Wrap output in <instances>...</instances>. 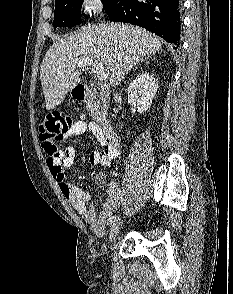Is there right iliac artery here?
<instances>
[{"label":"right iliac artery","mask_w":233,"mask_h":294,"mask_svg":"<svg viewBox=\"0 0 233 294\" xmlns=\"http://www.w3.org/2000/svg\"><path fill=\"white\" fill-rule=\"evenodd\" d=\"M117 219H119L118 216H112V217L109 218V220H108V225H109V224L111 225L114 221H117Z\"/></svg>","instance_id":"1"}]
</instances>
